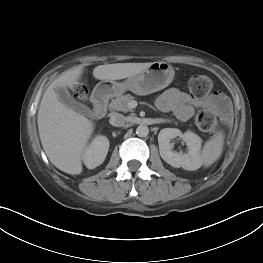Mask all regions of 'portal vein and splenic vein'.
<instances>
[{"mask_svg":"<svg viewBox=\"0 0 263 263\" xmlns=\"http://www.w3.org/2000/svg\"><path fill=\"white\" fill-rule=\"evenodd\" d=\"M135 104H136V102H135V101H131V102L129 103V106H130V107H132V106L134 107V106H135Z\"/></svg>","mask_w":263,"mask_h":263,"instance_id":"portal-vein-and-splenic-vein-1","label":"portal vein and splenic vein"}]
</instances>
